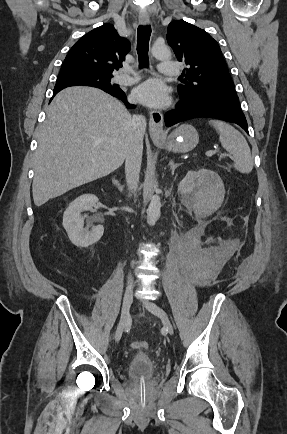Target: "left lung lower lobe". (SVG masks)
<instances>
[{"label":"left lung lower lobe","mask_w":287,"mask_h":434,"mask_svg":"<svg viewBox=\"0 0 287 434\" xmlns=\"http://www.w3.org/2000/svg\"><path fill=\"white\" fill-rule=\"evenodd\" d=\"M202 117L236 123L248 133L247 121L241 111L239 100L220 97L181 96L176 109L165 113L164 120L166 126L170 127L188 119Z\"/></svg>","instance_id":"0a47b994"}]
</instances>
